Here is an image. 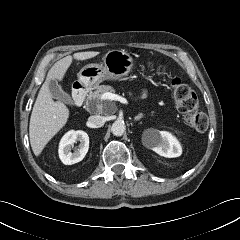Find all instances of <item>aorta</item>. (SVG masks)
Returning <instances> with one entry per match:
<instances>
[{
    "label": "aorta",
    "instance_id": "762f6f07",
    "mask_svg": "<svg viewBox=\"0 0 240 240\" xmlns=\"http://www.w3.org/2000/svg\"><path fill=\"white\" fill-rule=\"evenodd\" d=\"M126 130V126L122 121H115L111 126V132L115 136H122Z\"/></svg>",
    "mask_w": 240,
    "mask_h": 240
}]
</instances>
